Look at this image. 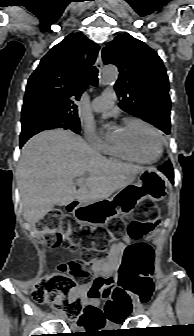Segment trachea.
Here are the masks:
<instances>
[{
    "mask_svg": "<svg viewBox=\"0 0 194 336\" xmlns=\"http://www.w3.org/2000/svg\"><path fill=\"white\" fill-rule=\"evenodd\" d=\"M88 78L93 86L98 85V69L95 66L88 70Z\"/></svg>",
    "mask_w": 194,
    "mask_h": 336,
    "instance_id": "1",
    "label": "trachea"
}]
</instances>
